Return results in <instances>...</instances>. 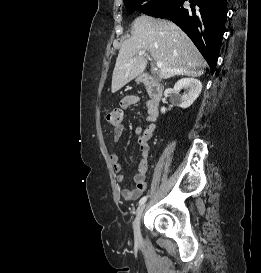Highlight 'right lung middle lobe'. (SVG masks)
I'll return each mask as SVG.
<instances>
[{
  "instance_id": "dd1d6c3e",
  "label": "right lung middle lobe",
  "mask_w": 261,
  "mask_h": 273,
  "mask_svg": "<svg viewBox=\"0 0 261 273\" xmlns=\"http://www.w3.org/2000/svg\"><path fill=\"white\" fill-rule=\"evenodd\" d=\"M171 1L172 0H124V3L126 9L130 12L138 10L151 16Z\"/></svg>"
}]
</instances>
